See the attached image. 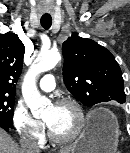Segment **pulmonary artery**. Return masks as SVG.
Listing matches in <instances>:
<instances>
[{"label": "pulmonary artery", "instance_id": "e3ab8cb5", "mask_svg": "<svg viewBox=\"0 0 130 153\" xmlns=\"http://www.w3.org/2000/svg\"><path fill=\"white\" fill-rule=\"evenodd\" d=\"M39 86L41 90L45 92H50L55 88V79L54 76L51 74H47L42 77L40 80Z\"/></svg>", "mask_w": 130, "mask_h": 153}]
</instances>
